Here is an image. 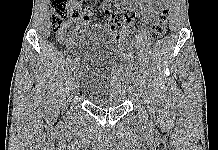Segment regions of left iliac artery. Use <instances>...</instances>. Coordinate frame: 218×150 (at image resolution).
<instances>
[{
    "label": "left iliac artery",
    "instance_id": "44dca946",
    "mask_svg": "<svg viewBox=\"0 0 218 150\" xmlns=\"http://www.w3.org/2000/svg\"><path fill=\"white\" fill-rule=\"evenodd\" d=\"M131 74L133 76H139L141 73L139 71H133Z\"/></svg>",
    "mask_w": 218,
    "mask_h": 150
}]
</instances>
